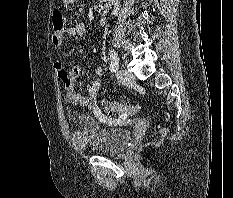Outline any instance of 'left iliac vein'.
<instances>
[{
    "label": "left iliac vein",
    "mask_w": 233,
    "mask_h": 198,
    "mask_svg": "<svg viewBox=\"0 0 233 198\" xmlns=\"http://www.w3.org/2000/svg\"><path fill=\"white\" fill-rule=\"evenodd\" d=\"M116 75H117L118 80L121 83L125 84V85H129V84H131V83L134 82V76H133V74L130 73L126 69H120V70H118L117 73H116Z\"/></svg>",
    "instance_id": "1"
}]
</instances>
